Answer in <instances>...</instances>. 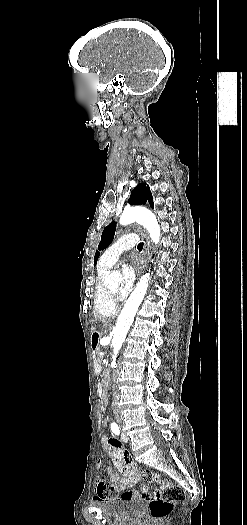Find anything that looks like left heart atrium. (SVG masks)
I'll use <instances>...</instances> for the list:
<instances>
[{"mask_svg":"<svg viewBox=\"0 0 247 525\" xmlns=\"http://www.w3.org/2000/svg\"><path fill=\"white\" fill-rule=\"evenodd\" d=\"M143 256V254L138 252L130 253V260L134 265V269L122 271L123 282L118 290V296L120 299L125 298L131 291L135 280V272L142 271L146 267V264H144L143 261Z\"/></svg>","mask_w":247,"mask_h":525,"instance_id":"obj_1","label":"left heart atrium"}]
</instances>
